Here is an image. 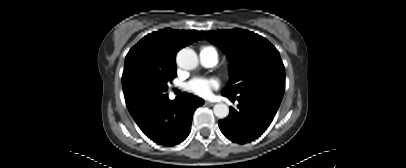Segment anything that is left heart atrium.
Returning a JSON list of instances; mask_svg holds the SVG:
<instances>
[{
    "instance_id": "obj_1",
    "label": "left heart atrium",
    "mask_w": 406,
    "mask_h": 168,
    "mask_svg": "<svg viewBox=\"0 0 406 168\" xmlns=\"http://www.w3.org/2000/svg\"><path fill=\"white\" fill-rule=\"evenodd\" d=\"M217 86L218 82L213 78L197 77L189 82L188 89L195 95L207 97L210 95L211 90Z\"/></svg>"
}]
</instances>
